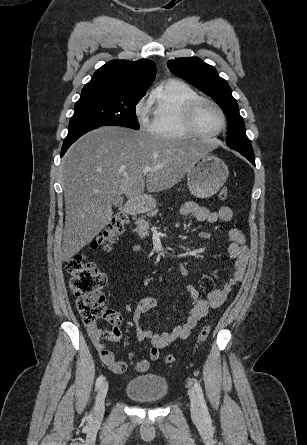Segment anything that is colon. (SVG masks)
Returning a JSON list of instances; mask_svg holds the SVG:
<instances>
[{
	"instance_id": "5ec220e1",
	"label": "colon",
	"mask_w": 307,
	"mask_h": 445,
	"mask_svg": "<svg viewBox=\"0 0 307 445\" xmlns=\"http://www.w3.org/2000/svg\"><path fill=\"white\" fill-rule=\"evenodd\" d=\"M228 195V189L223 188L219 192V199L226 200ZM127 223L128 216L126 213L118 212L114 214L96 241V246L110 249L117 241L118 236L124 231ZM66 269L71 276L69 286L72 293L77 297V309L83 322L85 324H93L98 319L107 320L113 325L109 334V340L119 341L121 338L119 329L121 317L107 306L104 293L102 292L106 284V275L95 263L85 260L82 256L70 259L66 264ZM210 331V324L201 328L197 336L196 347H199L207 340ZM174 362L175 357L173 355L168 354L165 356L166 364Z\"/></svg>"
}]
</instances>
